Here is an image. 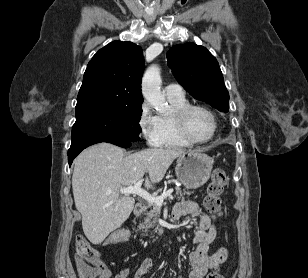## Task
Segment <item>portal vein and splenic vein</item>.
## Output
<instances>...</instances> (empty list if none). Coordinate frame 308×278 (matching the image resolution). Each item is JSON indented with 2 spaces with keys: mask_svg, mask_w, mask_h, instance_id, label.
<instances>
[{
  "mask_svg": "<svg viewBox=\"0 0 308 278\" xmlns=\"http://www.w3.org/2000/svg\"><path fill=\"white\" fill-rule=\"evenodd\" d=\"M142 182L143 180L141 179L137 181L133 186L121 187L120 193L124 195H129V194L138 195L142 197L143 199H145L146 201L150 203H155L158 206L162 205L164 200L170 197L171 194L173 193V189H169L160 196H152L146 190L141 188Z\"/></svg>",
  "mask_w": 308,
  "mask_h": 278,
  "instance_id": "1",
  "label": "portal vein and splenic vein"
}]
</instances>
